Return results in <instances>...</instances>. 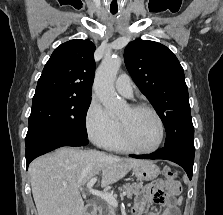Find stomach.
Here are the masks:
<instances>
[{"label":"stomach","instance_id":"0dacf381","mask_svg":"<svg viewBox=\"0 0 223 215\" xmlns=\"http://www.w3.org/2000/svg\"><path fill=\"white\" fill-rule=\"evenodd\" d=\"M132 173L137 179L150 181V179H155V177L159 175L160 169L157 167L156 163H153V161H144L141 165L132 167Z\"/></svg>","mask_w":223,"mask_h":215}]
</instances>
